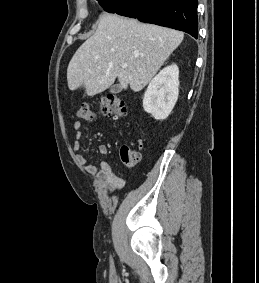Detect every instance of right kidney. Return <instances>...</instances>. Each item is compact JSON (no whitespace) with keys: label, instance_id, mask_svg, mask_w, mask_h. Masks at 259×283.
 Returning a JSON list of instances; mask_svg holds the SVG:
<instances>
[{"label":"right kidney","instance_id":"ca27d5eb","mask_svg":"<svg viewBox=\"0 0 259 283\" xmlns=\"http://www.w3.org/2000/svg\"><path fill=\"white\" fill-rule=\"evenodd\" d=\"M179 69L176 64L162 69L149 83L143 98V108L156 120L171 113L179 94Z\"/></svg>","mask_w":259,"mask_h":283}]
</instances>
